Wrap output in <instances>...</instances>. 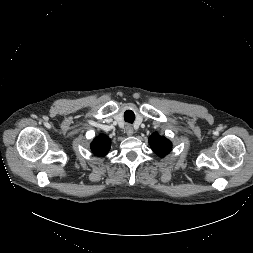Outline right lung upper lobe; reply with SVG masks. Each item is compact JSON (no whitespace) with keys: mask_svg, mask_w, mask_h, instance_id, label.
<instances>
[{"mask_svg":"<svg viewBox=\"0 0 253 253\" xmlns=\"http://www.w3.org/2000/svg\"><path fill=\"white\" fill-rule=\"evenodd\" d=\"M110 143V139L106 135H100L93 140L91 150L97 156H104L110 149Z\"/></svg>","mask_w":253,"mask_h":253,"instance_id":"obj_1","label":"right lung upper lobe"}]
</instances>
